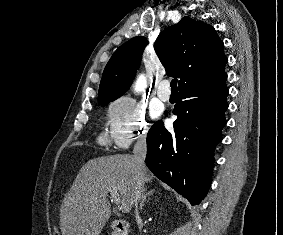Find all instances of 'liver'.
<instances>
[{
  "instance_id": "obj_1",
  "label": "liver",
  "mask_w": 283,
  "mask_h": 235,
  "mask_svg": "<svg viewBox=\"0 0 283 235\" xmlns=\"http://www.w3.org/2000/svg\"><path fill=\"white\" fill-rule=\"evenodd\" d=\"M153 175L146 168L144 183ZM137 185L134 158L129 154L89 160L80 170L60 208L62 235H99L111 215L107 196L116 188L123 213L132 209Z\"/></svg>"
}]
</instances>
